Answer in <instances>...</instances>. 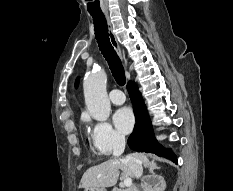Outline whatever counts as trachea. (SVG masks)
I'll list each match as a JSON object with an SVG mask.
<instances>
[{
	"instance_id": "3493384b",
	"label": "trachea",
	"mask_w": 233,
	"mask_h": 191,
	"mask_svg": "<svg viewBox=\"0 0 233 191\" xmlns=\"http://www.w3.org/2000/svg\"><path fill=\"white\" fill-rule=\"evenodd\" d=\"M91 16L94 21L95 35L100 51L108 62L115 80L120 86H123L126 82L124 68L110 42L105 16L103 14H91Z\"/></svg>"
}]
</instances>
